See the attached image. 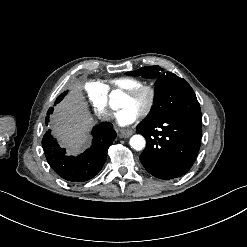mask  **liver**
Segmentation results:
<instances>
[{
  "instance_id": "liver-1",
  "label": "liver",
  "mask_w": 247,
  "mask_h": 247,
  "mask_svg": "<svg viewBox=\"0 0 247 247\" xmlns=\"http://www.w3.org/2000/svg\"><path fill=\"white\" fill-rule=\"evenodd\" d=\"M71 93L54 108L52 134L69 155H77L89 146L88 132L95 124L82 94L84 84L69 86Z\"/></svg>"
}]
</instances>
